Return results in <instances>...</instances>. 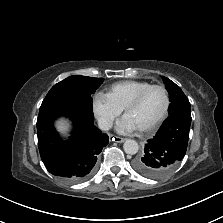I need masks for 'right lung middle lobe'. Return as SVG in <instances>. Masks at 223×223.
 Segmentation results:
<instances>
[{
  "instance_id": "obj_1",
  "label": "right lung middle lobe",
  "mask_w": 223,
  "mask_h": 223,
  "mask_svg": "<svg viewBox=\"0 0 223 223\" xmlns=\"http://www.w3.org/2000/svg\"><path fill=\"white\" fill-rule=\"evenodd\" d=\"M103 81V78L79 75L70 76L55 84L50 89L43 100L40 109L67 98L79 100L92 107L93 100L91 95L94 94Z\"/></svg>"
}]
</instances>
